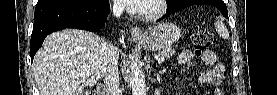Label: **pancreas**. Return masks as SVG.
<instances>
[{
	"label": "pancreas",
	"instance_id": "pancreas-1",
	"mask_svg": "<svg viewBox=\"0 0 277 95\" xmlns=\"http://www.w3.org/2000/svg\"><path fill=\"white\" fill-rule=\"evenodd\" d=\"M175 52H176L175 48L166 47V48L162 49L161 51H159L158 55L168 59V58L172 57Z\"/></svg>",
	"mask_w": 277,
	"mask_h": 95
}]
</instances>
